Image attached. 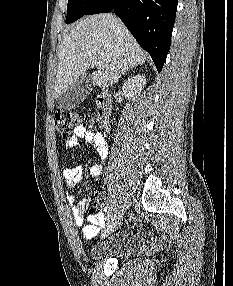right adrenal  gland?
<instances>
[{
	"instance_id": "right-adrenal-gland-1",
	"label": "right adrenal gland",
	"mask_w": 233,
	"mask_h": 286,
	"mask_svg": "<svg viewBox=\"0 0 233 286\" xmlns=\"http://www.w3.org/2000/svg\"><path fill=\"white\" fill-rule=\"evenodd\" d=\"M136 67H137V66H134V67L129 68V69L127 70V72L133 70V69L136 68Z\"/></svg>"
}]
</instances>
